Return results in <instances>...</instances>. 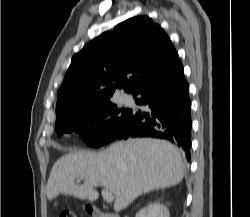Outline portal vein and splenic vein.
<instances>
[{
    "mask_svg": "<svg viewBox=\"0 0 250 217\" xmlns=\"http://www.w3.org/2000/svg\"><path fill=\"white\" fill-rule=\"evenodd\" d=\"M101 194L107 203H111L115 198L113 193L106 188L102 189Z\"/></svg>",
    "mask_w": 250,
    "mask_h": 217,
    "instance_id": "18ae733b",
    "label": "portal vein and splenic vein"
}]
</instances>
